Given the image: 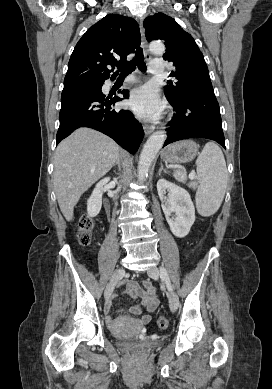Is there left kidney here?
Listing matches in <instances>:
<instances>
[{
    "mask_svg": "<svg viewBox=\"0 0 272 389\" xmlns=\"http://www.w3.org/2000/svg\"><path fill=\"white\" fill-rule=\"evenodd\" d=\"M157 191L162 202L170 230L178 238L185 237L195 221V207L189 193L182 187L165 179L157 182ZM168 191V198L165 196ZM174 213V217H170Z\"/></svg>",
    "mask_w": 272,
    "mask_h": 389,
    "instance_id": "left-kidney-1",
    "label": "left kidney"
}]
</instances>
